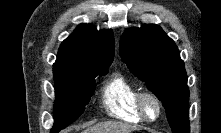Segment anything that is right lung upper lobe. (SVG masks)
<instances>
[{"mask_svg": "<svg viewBox=\"0 0 221 133\" xmlns=\"http://www.w3.org/2000/svg\"><path fill=\"white\" fill-rule=\"evenodd\" d=\"M114 49L112 30L97 31L90 24H81L62 43L53 65V74L90 65L111 64Z\"/></svg>", "mask_w": 221, "mask_h": 133, "instance_id": "1", "label": "right lung upper lobe"}]
</instances>
